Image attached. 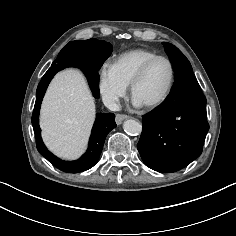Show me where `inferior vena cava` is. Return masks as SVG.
<instances>
[{
  "mask_svg": "<svg viewBox=\"0 0 236 236\" xmlns=\"http://www.w3.org/2000/svg\"><path fill=\"white\" fill-rule=\"evenodd\" d=\"M104 105L111 111H120L121 105L117 97L106 96L103 98Z\"/></svg>",
  "mask_w": 236,
  "mask_h": 236,
  "instance_id": "602c4592",
  "label": "inferior vena cava"
}]
</instances>
